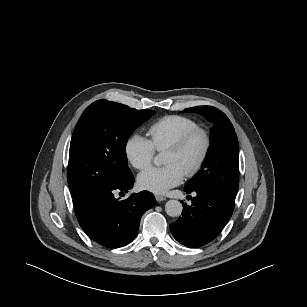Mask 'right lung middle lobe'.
Returning <instances> with one entry per match:
<instances>
[{
  "mask_svg": "<svg viewBox=\"0 0 307 307\" xmlns=\"http://www.w3.org/2000/svg\"><path fill=\"white\" fill-rule=\"evenodd\" d=\"M155 114L98 100L79 118L71 139L68 185L74 204L123 182L131 171L126 144L131 133Z\"/></svg>",
  "mask_w": 307,
  "mask_h": 307,
  "instance_id": "obj_1",
  "label": "right lung middle lobe"
}]
</instances>
